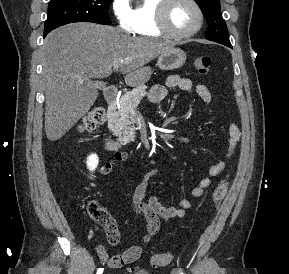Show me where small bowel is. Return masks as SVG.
Returning <instances> with one entry per match:
<instances>
[{
    "mask_svg": "<svg viewBox=\"0 0 289 274\" xmlns=\"http://www.w3.org/2000/svg\"><path fill=\"white\" fill-rule=\"evenodd\" d=\"M178 88L183 91L194 92L206 103H210L212 95L209 89L203 84L194 85L190 79L182 78L178 75H171L167 78L165 85H155L150 92L151 100L155 102L162 101L167 95V89ZM228 141L225 150L226 159H230L234 154L235 148L240 140V129L235 123H231L228 128ZM127 160L125 152L117 151L113 158L99 168L101 174L110 173L117 165ZM226 161H220L213 164L208 169L211 177L220 175L225 169ZM160 173V168H153L148 171L139 183L133 194L132 202L135 213L142 216L146 222V234L143 237V243H148L160 229L161 221H169L173 218H182L186 215L187 210L194 207L195 203L187 198L180 199L178 206H168L161 202L158 196H151L146 200L147 190L150 181ZM212 181L209 178L201 179L198 184L190 191L192 198H200L205 191L210 188ZM109 244L115 246L119 242V233L115 237L107 235ZM143 249L139 245L131 246L122 253L109 255L103 245L97 247V254L100 260L110 268H121L127 264L133 263L142 255Z\"/></svg>",
    "mask_w": 289,
    "mask_h": 274,
    "instance_id": "1",
    "label": "small bowel"
}]
</instances>
